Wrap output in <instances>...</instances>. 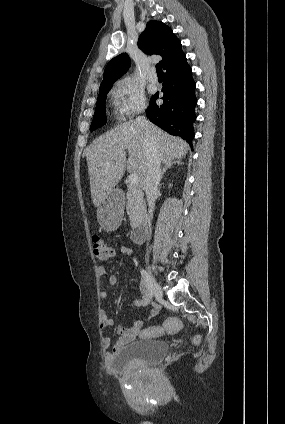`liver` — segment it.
Returning <instances> with one entry per match:
<instances>
[{
  "mask_svg": "<svg viewBox=\"0 0 285 424\" xmlns=\"http://www.w3.org/2000/svg\"><path fill=\"white\" fill-rule=\"evenodd\" d=\"M158 154L165 164L180 160L189 149L188 144L172 137L149 123ZM126 150L129 157L126 158ZM86 160L90 179L91 198L98 207L121 180L125 170L137 173L139 185L144 188L147 174L145 130L136 120L122 123L95 139L87 147Z\"/></svg>",
  "mask_w": 285,
  "mask_h": 424,
  "instance_id": "liver-1",
  "label": "liver"
}]
</instances>
